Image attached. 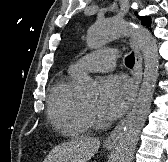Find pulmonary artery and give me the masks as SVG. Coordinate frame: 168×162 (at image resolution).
Here are the masks:
<instances>
[{
  "label": "pulmonary artery",
  "instance_id": "e3ab8cb5",
  "mask_svg": "<svg viewBox=\"0 0 168 162\" xmlns=\"http://www.w3.org/2000/svg\"><path fill=\"white\" fill-rule=\"evenodd\" d=\"M117 57L118 51L114 48L99 49L79 58L70 66V70L74 73L107 72L114 68Z\"/></svg>",
  "mask_w": 168,
  "mask_h": 162
}]
</instances>
